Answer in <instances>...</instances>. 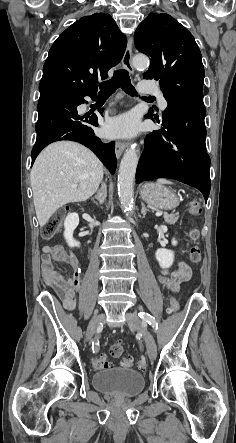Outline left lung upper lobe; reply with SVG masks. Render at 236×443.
Returning a JSON list of instances; mask_svg holds the SVG:
<instances>
[{
	"label": "left lung upper lobe",
	"instance_id": "5c2ea615",
	"mask_svg": "<svg viewBox=\"0 0 236 443\" xmlns=\"http://www.w3.org/2000/svg\"><path fill=\"white\" fill-rule=\"evenodd\" d=\"M136 48L151 59L143 77L159 80L167 101L203 96L204 67L192 34L168 14L150 13L134 34Z\"/></svg>",
	"mask_w": 236,
	"mask_h": 443
}]
</instances>
